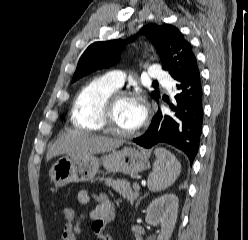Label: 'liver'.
Returning a JSON list of instances; mask_svg holds the SVG:
<instances>
[{
    "mask_svg": "<svg viewBox=\"0 0 248 240\" xmlns=\"http://www.w3.org/2000/svg\"><path fill=\"white\" fill-rule=\"evenodd\" d=\"M122 144V140L72 131L58 138L49 148L47 161L61 154L81 156L110 152Z\"/></svg>",
    "mask_w": 248,
    "mask_h": 240,
    "instance_id": "6515ba94",
    "label": "liver"
}]
</instances>
